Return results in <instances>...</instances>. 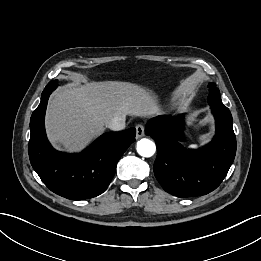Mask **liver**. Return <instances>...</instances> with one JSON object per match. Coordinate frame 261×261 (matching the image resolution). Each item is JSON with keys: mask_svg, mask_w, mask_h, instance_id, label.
Returning a JSON list of instances; mask_svg holds the SVG:
<instances>
[{"mask_svg": "<svg viewBox=\"0 0 261 261\" xmlns=\"http://www.w3.org/2000/svg\"><path fill=\"white\" fill-rule=\"evenodd\" d=\"M160 113L155 97L139 85L93 81L67 85L56 92L49 102L45 124L52 144L78 152L117 115L153 117Z\"/></svg>", "mask_w": 261, "mask_h": 261, "instance_id": "liver-1", "label": "liver"}]
</instances>
